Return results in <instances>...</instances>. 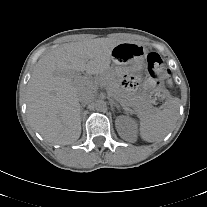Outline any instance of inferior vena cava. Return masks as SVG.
I'll list each match as a JSON object with an SVG mask.
<instances>
[{"instance_id": "inferior-vena-cava-1", "label": "inferior vena cava", "mask_w": 207, "mask_h": 207, "mask_svg": "<svg viewBox=\"0 0 207 207\" xmlns=\"http://www.w3.org/2000/svg\"><path fill=\"white\" fill-rule=\"evenodd\" d=\"M95 98L94 91L89 88H82L78 92V100L81 103L87 104Z\"/></svg>"}]
</instances>
